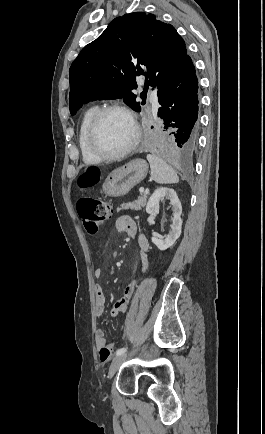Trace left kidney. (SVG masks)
<instances>
[{"mask_svg": "<svg viewBox=\"0 0 265 434\" xmlns=\"http://www.w3.org/2000/svg\"><path fill=\"white\" fill-rule=\"evenodd\" d=\"M164 198H166V200H170V206L173 210L174 218H172L173 222L171 226V232H169L165 240H158V238H155V236L151 238L153 244H155L159 250H167V248L173 246L176 240H178L182 228V220L180 218L182 214V206L181 202L178 200L175 190H172V188H158V190H155L154 194H152L151 198H149L147 202V214H157L158 210H156V206L159 204L160 200H164Z\"/></svg>", "mask_w": 265, "mask_h": 434, "instance_id": "1", "label": "left kidney"}]
</instances>
